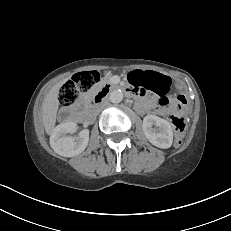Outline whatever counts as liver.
Returning a JSON list of instances; mask_svg holds the SVG:
<instances>
[{
    "label": "liver",
    "instance_id": "1",
    "mask_svg": "<svg viewBox=\"0 0 231 231\" xmlns=\"http://www.w3.org/2000/svg\"><path fill=\"white\" fill-rule=\"evenodd\" d=\"M67 79L54 85L47 93L42 104V121L47 134H51L56 124L57 111L59 108V90Z\"/></svg>",
    "mask_w": 231,
    "mask_h": 231
}]
</instances>
